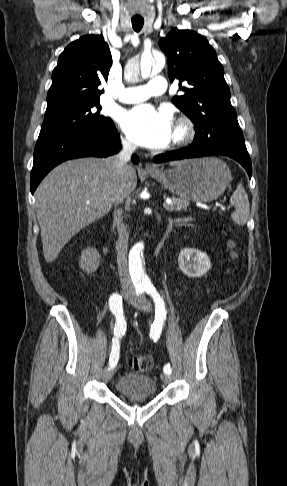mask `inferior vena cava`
I'll use <instances>...</instances> for the list:
<instances>
[{"label": "inferior vena cava", "instance_id": "obj_1", "mask_svg": "<svg viewBox=\"0 0 287 486\" xmlns=\"http://www.w3.org/2000/svg\"><path fill=\"white\" fill-rule=\"evenodd\" d=\"M122 146V150L111 158V166L114 174L116 175L117 182L126 178L128 170L127 163L130 160L131 155L136 150V145L126 140H122ZM118 188L119 185L115 184L114 190L111 193V201L115 206L123 202V199L120 198ZM122 219V210L115 209L114 224L117 226L119 235L117 241V266L119 278L122 289L132 291L134 290V286L131 281L127 265L129 231L127 229V225L123 223Z\"/></svg>", "mask_w": 287, "mask_h": 486}]
</instances>
